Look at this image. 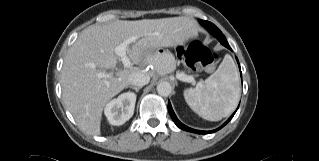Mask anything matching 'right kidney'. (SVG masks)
I'll return each instance as SVG.
<instances>
[{"label": "right kidney", "instance_id": "1", "mask_svg": "<svg viewBox=\"0 0 319 161\" xmlns=\"http://www.w3.org/2000/svg\"><path fill=\"white\" fill-rule=\"evenodd\" d=\"M136 95L126 92L107 103L104 113L112 125H122L129 120L135 108Z\"/></svg>", "mask_w": 319, "mask_h": 161}]
</instances>
